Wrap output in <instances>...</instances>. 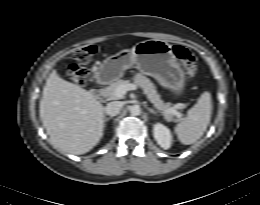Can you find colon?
Listing matches in <instances>:
<instances>
[{"mask_svg":"<svg viewBox=\"0 0 260 205\" xmlns=\"http://www.w3.org/2000/svg\"><path fill=\"white\" fill-rule=\"evenodd\" d=\"M93 45L82 47L71 53V58L65 64V71L69 78L76 84L83 86L87 83L89 71L86 65L96 53ZM175 56L182 62L188 77L192 78L197 73V64L194 54L181 45L174 46Z\"/></svg>","mask_w":260,"mask_h":205,"instance_id":"1","label":"colon"}]
</instances>
